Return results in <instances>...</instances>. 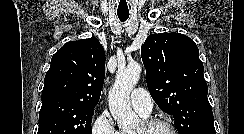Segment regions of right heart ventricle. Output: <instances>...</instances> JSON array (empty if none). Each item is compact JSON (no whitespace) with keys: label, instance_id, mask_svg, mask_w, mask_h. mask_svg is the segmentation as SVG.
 Listing matches in <instances>:
<instances>
[{"label":"right heart ventricle","instance_id":"obj_1","mask_svg":"<svg viewBox=\"0 0 244 134\" xmlns=\"http://www.w3.org/2000/svg\"><path fill=\"white\" fill-rule=\"evenodd\" d=\"M120 133L121 134H134V133H131V132H126V131H121Z\"/></svg>","mask_w":244,"mask_h":134}]
</instances>
